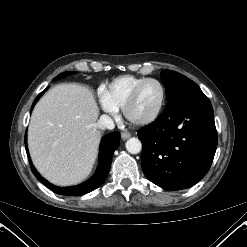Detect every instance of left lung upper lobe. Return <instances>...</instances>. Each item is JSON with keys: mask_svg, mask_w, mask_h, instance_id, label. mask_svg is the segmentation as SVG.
<instances>
[{"mask_svg": "<svg viewBox=\"0 0 247 247\" xmlns=\"http://www.w3.org/2000/svg\"><path fill=\"white\" fill-rule=\"evenodd\" d=\"M167 93V104L184 94L200 91L199 86L186 76L171 70L161 71Z\"/></svg>", "mask_w": 247, "mask_h": 247, "instance_id": "5c2ea615", "label": "left lung upper lobe"}]
</instances>
